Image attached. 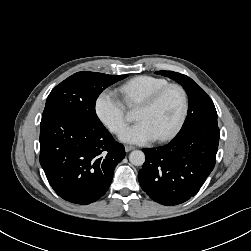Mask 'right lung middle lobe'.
Returning <instances> with one entry per match:
<instances>
[{
    "label": "right lung middle lobe",
    "mask_w": 251,
    "mask_h": 251,
    "mask_svg": "<svg viewBox=\"0 0 251 251\" xmlns=\"http://www.w3.org/2000/svg\"><path fill=\"white\" fill-rule=\"evenodd\" d=\"M128 75L78 72L57 85L47 97L42 119L58 114H74L101 123L95 112L100 93Z\"/></svg>",
    "instance_id": "1"
}]
</instances>
